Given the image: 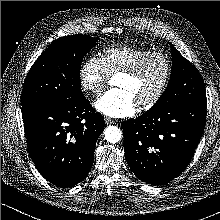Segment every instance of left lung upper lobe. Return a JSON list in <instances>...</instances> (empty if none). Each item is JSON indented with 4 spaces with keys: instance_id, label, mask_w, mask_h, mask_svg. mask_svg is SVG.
Wrapping results in <instances>:
<instances>
[{
    "instance_id": "obj_1",
    "label": "left lung upper lobe",
    "mask_w": 220,
    "mask_h": 220,
    "mask_svg": "<svg viewBox=\"0 0 220 220\" xmlns=\"http://www.w3.org/2000/svg\"><path fill=\"white\" fill-rule=\"evenodd\" d=\"M170 46L173 61L170 81L151 109L206 98L204 83L196 67L186 60L172 44Z\"/></svg>"
}]
</instances>
